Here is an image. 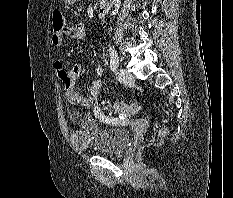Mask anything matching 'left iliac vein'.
Returning <instances> with one entry per match:
<instances>
[{"mask_svg": "<svg viewBox=\"0 0 233 198\" xmlns=\"http://www.w3.org/2000/svg\"><path fill=\"white\" fill-rule=\"evenodd\" d=\"M116 77L120 82H122L124 84H130L134 81L133 75L128 70H126L124 68H119L116 71Z\"/></svg>", "mask_w": 233, "mask_h": 198, "instance_id": "1", "label": "left iliac vein"}]
</instances>
